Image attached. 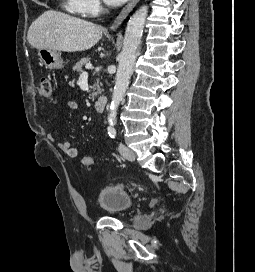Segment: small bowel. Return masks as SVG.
Here are the masks:
<instances>
[{
  "instance_id": "obj_1",
  "label": "small bowel",
  "mask_w": 255,
  "mask_h": 272,
  "mask_svg": "<svg viewBox=\"0 0 255 272\" xmlns=\"http://www.w3.org/2000/svg\"><path fill=\"white\" fill-rule=\"evenodd\" d=\"M69 108L74 111L77 112L79 107L77 105V103L75 102H70L69 103ZM48 140L54 144L57 145V147L63 151L66 156H68L69 158H76L78 156V149L73 146L70 142L68 141H57V138L54 134H49L48 135Z\"/></svg>"
}]
</instances>
